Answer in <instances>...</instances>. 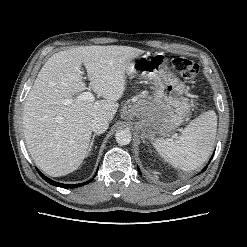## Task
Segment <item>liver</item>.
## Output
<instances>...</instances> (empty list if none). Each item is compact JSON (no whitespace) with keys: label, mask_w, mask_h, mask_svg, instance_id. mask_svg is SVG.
<instances>
[{"label":"liver","mask_w":247,"mask_h":247,"mask_svg":"<svg viewBox=\"0 0 247 247\" xmlns=\"http://www.w3.org/2000/svg\"><path fill=\"white\" fill-rule=\"evenodd\" d=\"M144 51L129 46H79L52 55L43 65L27 96L23 128L36 165L59 177L75 171L88 156L92 120L111 121L126 86V68ZM92 90L104 98L78 100L86 90L81 66ZM72 100L66 104V100Z\"/></svg>","instance_id":"6515ba94"}]
</instances>
